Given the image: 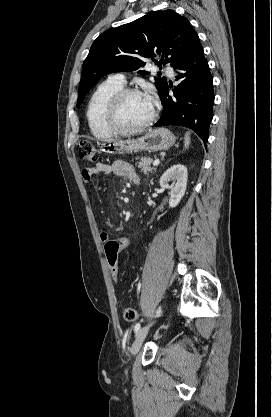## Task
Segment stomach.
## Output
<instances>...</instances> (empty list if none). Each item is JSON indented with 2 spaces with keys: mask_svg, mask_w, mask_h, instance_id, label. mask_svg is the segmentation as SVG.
Wrapping results in <instances>:
<instances>
[{
  "mask_svg": "<svg viewBox=\"0 0 272 417\" xmlns=\"http://www.w3.org/2000/svg\"><path fill=\"white\" fill-rule=\"evenodd\" d=\"M175 143V136L166 128L149 129L145 135L125 141H108L101 145L108 154H122L132 151L156 152L169 149Z\"/></svg>",
  "mask_w": 272,
  "mask_h": 417,
  "instance_id": "obj_1",
  "label": "stomach"
}]
</instances>
